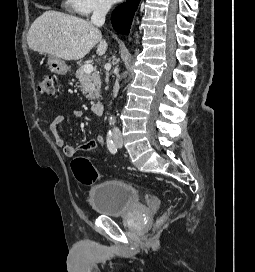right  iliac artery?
<instances>
[{"label":"right iliac artery","instance_id":"right-iliac-artery-1","mask_svg":"<svg viewBox=\"0 0 255 272\" xmlns=\"http://www.w3.org/2000/svg\"><path fill=\"white\" fill-rule=\"evenodd\" d=\"M107 147H108V150L112 154H115L117 152V147H116V145L114 144V142L112 140V133H111V131H109L108 135H107Z\"/></svg>","mask_w":255,"mask_h":272}]
</instances>
